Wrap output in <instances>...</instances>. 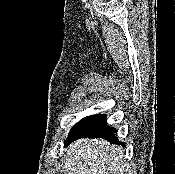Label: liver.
<instances>
[{"instance_id": "6515ba94", "label": "liver", "mask_w": 175, "mask_h": 174, "mask_svg": "<svg viewBox=\"0 0 175 174\" xmlns=\"http://www.w3.org/2000/svg\"><path fill=\"white\" fill-rule=\"evenodd\" d=\"M122 148L105 139L82 138L66 149L64 174H127Z\"/></svg>"}]
</instances>
